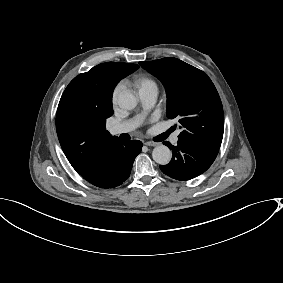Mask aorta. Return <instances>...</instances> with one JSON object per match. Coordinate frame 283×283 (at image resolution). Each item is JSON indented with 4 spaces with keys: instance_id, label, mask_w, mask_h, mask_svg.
<instances>
[{
    "instance_id": "1",
    "label": "aorta",
    "mask_w": 283,
    "mask_h": 283,
    "mask_svg": "<svg viewBox=\"0 0 283 283\" xmlns=\"http://www.w3.org/2000/svg\"><path fill=\"white\" fill-rule=\"evenodd\" d=\"M118 105L122 109L132 110L137 105L136 97L129 92H122L118 96ZM171 151L165 145L156 146L152 151L153 160L161 165H166L171 160Z\"/></svg>"
}]
</instances>
